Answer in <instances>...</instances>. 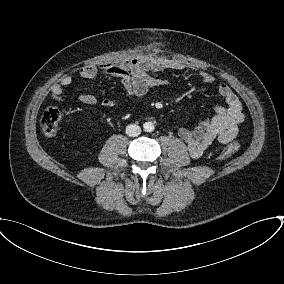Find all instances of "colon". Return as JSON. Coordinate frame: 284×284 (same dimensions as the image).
Returning <instances> with one entry per match:
<instances>
[{
  "instance_id": "5ec220e1",
  "label": "colon",
  "mask_w": 284,
  "mask_h": 284,
  "mask_svg": "<svg viewBox=\"0 0 284 284\" xmlns=\"http://www.w3.org/2000/svg\"><path fill=\"white\" fill-rule=\"evenodd\" d=\"M61 120V113L56 107H49L45 109L40 118V126L44 135L52 137L57 134L59 130V123ZM239 148L238 142L230 143L222 152L221 159L228 158Z\"/></svg>"
}]
</instances>
